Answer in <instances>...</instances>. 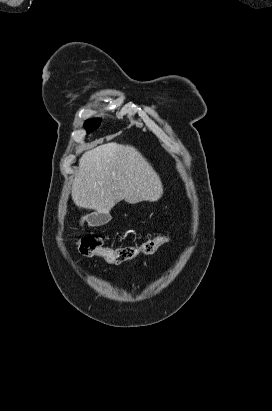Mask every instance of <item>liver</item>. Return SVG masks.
Listing matches in <instances>:
<instances>
[{"instance_id": "6515ba94", "label": "liver", "mask_w": 272, "mask_h": 411, "mask_svg": "<svg viewBox=\"0 0 272 411\" xmlns=\"http://www.w3.org/2000/svg\"><path fill=\"white\" fill-rule=\"evenodd\" d=\"M162 194L159 175L141 153L133 146L111 142L82 155L71 196L79 208L108 214L121 200L155 202ZM85 220L87 216L80 224Z\"/></svg>"}]
</instances>
